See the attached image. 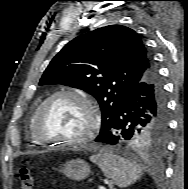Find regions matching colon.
<instances>
[{
	"mask_svg": "<svg viewBox=\"0 0 188 189\" xmlns=\"http://www.w3.org/2000/svg\"><path fill=\"white\" fill-rule=\"evenodd\" d=\"M20 187L19 189H32L34 179L28 165H23L19 169Z\"/></svg>",
	"mask_w": 188,
	"mask_h": 189,
	"instance_id": "obj_1",
	"label": "colon"
}]
</instances>
